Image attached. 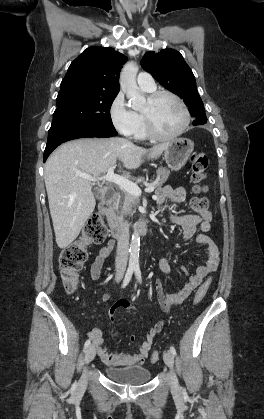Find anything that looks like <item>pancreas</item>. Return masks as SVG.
I'll list each match as a JSON object with an SVG mask.
<instances>
[{"label": "pancreas", "instance_id": "pancreas-1", "mask_svg": "<svg viewBox=\"0 0 264 419\" xmlns=\"http://www.w3.org/2000/svg\"><path fill=\"white\" fill-rule=\"evenodd\" d=\"M170 175V171L165 168L161 167L157 170V178L155 182L152 184L155 188H161V186L167 181ZM140 203V199L138 196H134L126 191L122 193V200H118L115 204V211L118 215V218L121 219L125 214H134L133 208Z\"/></svg>", "mask_w": 264, "mask_h": 419}]
</instances>
